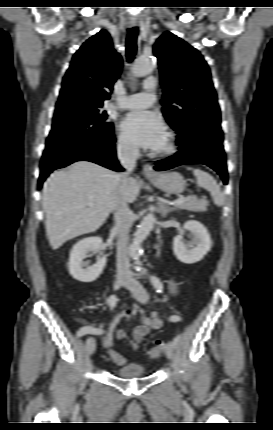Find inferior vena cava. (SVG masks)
Segmentation results:
<instances>
[{
	"label": "inferior vena cava",
	"instance_id": "obj_1",
	"mask_svg": "<svg viewBox=\"0 0 273 430\" xmlns=\"http://www.w3.org/2000/svg\"><path fill=\"white\" fill-rule=\"evenodd\" d=\"M139 156V150L135 147H118V159L121 165L126 169L125 172L115 175L116 195L114 198L115 211V231L118 234L117 241V276L132 281L129 270V258L127 250V241L130 228L132 226L133 213L128 207V203L122 194V187L128 180L129 172L136 166V160Z\"/></svg>",
	"mask_w": 273,
	"mask_h": 430
}]
</instances>
